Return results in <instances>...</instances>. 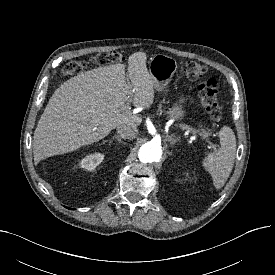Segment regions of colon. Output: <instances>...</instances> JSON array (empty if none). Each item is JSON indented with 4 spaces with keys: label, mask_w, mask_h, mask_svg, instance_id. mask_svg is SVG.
Here are the masks:
<instances>
[{
    "label": "colon",
    "mask_w": 275,
    "mask_h": 275,
    "mask_svg": "<svg viewBox=\"0 0 275 275\" xmlns=\"http://www.w3.org/2000/svg\"><path fill=\"white\" fill-rule=\"evenodd\" d=\"M122 60V55L117 51H103L97 53L89 61L73 60L68 62L62 69L65 76H73L81 73L89 62L98 66L117 63ZM184 76L197 83V90L204 109L208 113H215L220 108L218 98V81L214 78H207V67L204 64L188 61L182 67Z\"/></svg>",
    "instance_id": "5ec220e1"
}]
</instances>
